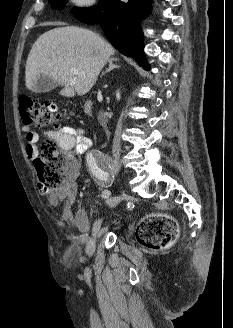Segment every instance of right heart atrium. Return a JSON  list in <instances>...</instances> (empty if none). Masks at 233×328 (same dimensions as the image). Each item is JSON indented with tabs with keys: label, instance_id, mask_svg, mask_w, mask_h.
<instances>
[{
	"label": "right heart atrium",
	"instance_id": "right-heart-atrium-1",
	"mask_svg": "<svg viewBox=\"0 0 233 328\" xmlns=\"http://www.w3.org/2000/svg\"><path fill=\"white\" fill-rule=\"evenodd\" d=\"M71 1L75 6L80 8H89L96 3V0H71Z\"/></svg>",
	"mask_w": 233,
	"mask_h": 328
}]
</instances>
